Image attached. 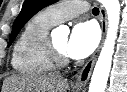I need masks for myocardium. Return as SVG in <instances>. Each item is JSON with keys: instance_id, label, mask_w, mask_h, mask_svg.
Listing matches in <instances>:
<instances>
[{"instance_id": "myocardium-1", "label": "myocardium", "mask_w": 127, "mask_h": 92, "mask_svg": "<svg viewBox=\"0 0 127 92\" xmlns=\"http://www.w3.org/2000/svg\"><path fill=\"white\" fill-rule=\"evenodd\" d=\"M47 53L55 67H64L69 62L67 55L56 47L52 37L47 40Z\"/></svg>"}]
</instances>
